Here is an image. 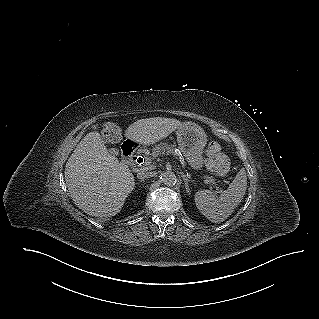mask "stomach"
Masks as SVG:
<instances>
[{"mask_svg": "<svg viewBox=\"0 0 319 319\" xmlns=\"http://www.w3.org/2000/svg\"><path fill=\"white\" fill-rule=\"evenodd\" d=\"M177 141L179 148L194 170H201L204 164L203 149L207 143V135L204 130L194 123H184L177 129Z\"/></svg>", "mask_w": 319, "mask_h": 319, "instance_id": "0dacf381", "label": "stomach"}]
</instances>
